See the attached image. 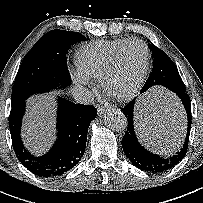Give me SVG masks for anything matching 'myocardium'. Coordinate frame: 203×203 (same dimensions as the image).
Masks as SVG:
<instances>
[{
  "mask_svg": "<svg viewBox=\"0 0 203 203\" xmlns=\"http://www.w3.org/2000/svg\"><path fill=\"white\" fill-rule=\"evenodd\" d=\"M132 43H139L142 45L144 52H145L144 65H143V68H142L139 76L137 77L136 81L132 85V87L125 93L118 94V93H115L112 89V81H113V79L116 75V72L118 70V67L121 63L124 51ZM149 63H150V52H149V48H148L147 44L139 38L128 39L117 51V53L115 54L113 60L111 61L110 65L108 66L107 70L105 71V73L101 79V84H102L104 92L107 94V96H109L111 99H113L117 102L130 101L140 91V89L145 81L148 69H149Z\"/></svg>",
  "mask_w": 203,
  "mask_h": 203,
  "instance_id": "myocardium-1",
  "label": "myocardium"
}]
</instances>
